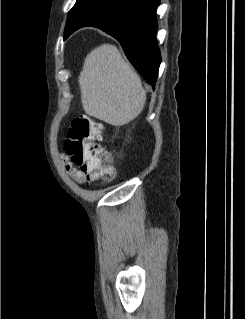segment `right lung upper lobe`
Returning a JSON list of instances; mask_svg holds the SVG:
<instances>
[{"label":"right lung upper lobe","instance_id":"obj_1","mask_svg":"<svg viewBox=\"0 0 245 319\" xmlns=\"http://www.w3.org/2000/svg\"><path fill=\"white\" fill-rule=\"evenodd\" d=\"M83 0H77L74 7L70 10L68 14V18H75L76 21L73 24L66 25L65 29V37L69 36L71 33H73L75 30H77L80 27H83L87 25L88 23L92 22L93 19L89 18V16L85 13V11H82L80 8V3Z\"/></svg>","mask_w":245,"mask_h":319}]
</instances>
